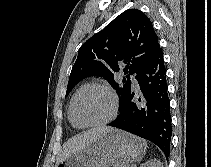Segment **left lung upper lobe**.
Wrapping results in <instances>:
<instances>
[{
  "instance_id": "5c2ea615",
  "label": "left lung upper lobe",
  "mask_w": 211,
  "mask_h": 167,
  "mask_svg": "<svg viewBox=\"0 0 211 167\" xmlns=\"http://www.w3.org/2000/svg\"><path fill=\"white\" fill-rule=\"evenodd\" d=\"M158 37L150 19L138 9H129L117 16L102 31L93 35L79 49L71 70L66 96L88 76H101L121 95L131 89L130 75L140 72L159 48ZM125 63L124 85L114 80L120 64Z\"/></svg>"
}]
</instances>
